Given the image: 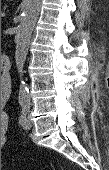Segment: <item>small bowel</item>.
I'll return each instance as SVG.
<instances>
[{
	"label": "small bowel",
	"instance_id": "obj_1",
	"mask_svg": "<svg viewBox=\"0 0 109 170\" xmlns=\"http://www.w3.org/2000/svg\"><path fill=\"white\" fill-rule=\"evenodd\" d=\"M9 95V91L3 92L1 95V102L3 103ZM8 131V115L5 112H1V142L6 140Z\"/></svg>",
	"mask_w": 109,
	"mask_h": 170
}]
</instances>
